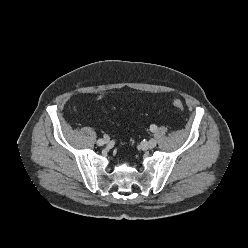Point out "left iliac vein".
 <instances>
[{"mask_svg":"<svg viewBox=\"0 0 248 248\" xmlns=\"http://www.w3.org/2000/svg\"><path fill=\"white\" fill-rule=\"evenodd\" d=\"M156 145H157V141L155 139H150L148 141V147L149 148H154V147H156Z\"/></svg>","mask_w":248,"mask_h":248,"instance_id":"obj_1","label":"left iliac vein"}]
</instances>
